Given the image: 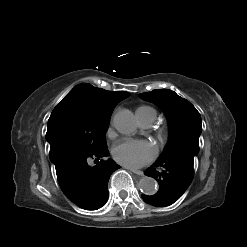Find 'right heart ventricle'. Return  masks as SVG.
Listing matches in <instances>:
<instances>
[{"mask_svg": "<svg viewBox=\"0 0 247 247\" xmlns=\"http://www.w3.org/2000/svg\"><path fill=\"white\" fill-rule=\"evenodd\" d=\"M136 114L141 123H153L157 118V111L153 107L148 105H142L138 107Z\"/></svg>", "mask_w": 247, "mask_h": 247, "instance_id": "1", "label": "right heart ventricle"}]
</instances>
